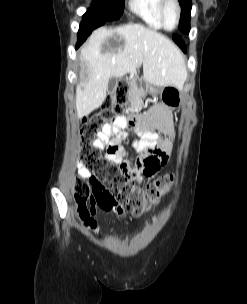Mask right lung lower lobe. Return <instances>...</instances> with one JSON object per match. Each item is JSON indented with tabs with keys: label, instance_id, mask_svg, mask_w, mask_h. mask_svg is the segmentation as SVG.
<instances>
[{
	"label": "right lung lower lobe",
	"instance_id": "98d812e1",
	"mask_svg": "<svg viewBox=\"0 0 247 304\" xmlns=\"http://www.w3.org/2000/svg\"><path fill=\"white\" fill-rule=\"evenodd\" d=\"M105 23V21H101L99 22V24L103 25ZM85 22L82 21V23L80 24V29H82L83 27H85ZM79 29V30H80ZM86 39H84L80 34H78V44H77V47L82 44Z\"/></svg>",
	"mask_w": 247,
	"mask_h": 304
}]
</instances>
